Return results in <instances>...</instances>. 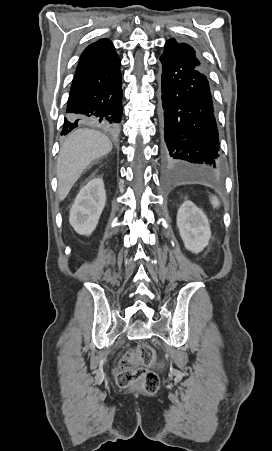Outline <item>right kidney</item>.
Listing matches in <instances>:
<instances>
[{
  "label": "right kidney",
  "instance_id": "obj_1",
  "mask_svg": "<svg viewBox=\"0 0 272 451\" xmlns=\"http://www.w3.org/2000/svg\"><path fill=\"white\" fill-rule=\"evenodd\" d=\"M106 192L102 178H93L81 188L70 210L69 222L77 233L90 235L105 208Z\"/></svg>",
  "mask_w": 272,
  "mask_h": 451
}]
</instances>
